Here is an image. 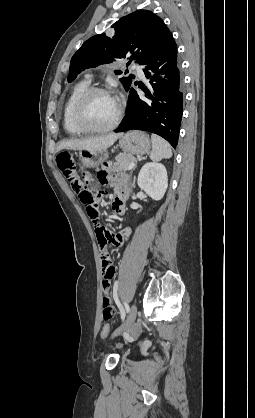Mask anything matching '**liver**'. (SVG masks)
Masks as SVG:
<instances>
[{
    "instance_id": "6515ba94",
    "label": "liver",
    "mask_w": 255,
    "mask_h": 418,
    "mask_svg": "<svg viewBox=\"0 0 255 418\" xmlns=\"http://www.w3.org/2000/svg\"><path fill=\"white\" fill-rule=\"evenodd\" d=\"M121 135L122 133H110L100 137L62 141L57 147V152L63 149L79 151L86 150L89 152L105 151L111 147L115 141L121 137Z\"/></svg>"
}]
</instances>
